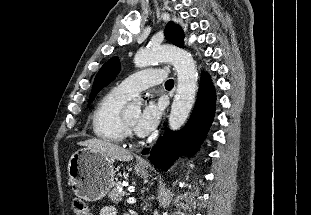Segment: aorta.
<instances>
[{
  "label": "aorta",
  "instance_id": "1",
  "mask_svg": "<svg viewBox=\"0 0 311 215\" xmlns=\"http://www.w3.org/2000/svg\"><path fill=\"white\" fill-rule=\"evenodd\" d=\"M162 61L172 63L177 72L178 84L169 115V127L178 130L192 109L197 91L198 72L192 55L171 45L149 46L139 50L134 57L135 65L140 68ZM140 105V99H134L131 103V106Z\"/></svg>",
  "mask_w": 311,
  "mask_h": 215
}]
</instances>
